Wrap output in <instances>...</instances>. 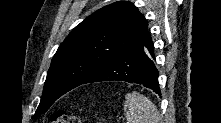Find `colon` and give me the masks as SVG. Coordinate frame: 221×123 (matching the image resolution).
Masks as SVG:
<instances>
[{
    "label": "colon",
    "mask_w": 221,
    "mask_h": 123,
    "mask_svg": "<svg viewBox=\"0 0 221 123\" xmlns=\"http://www.w3.org/2000/svg\"><path fill=\"white\" fill-rule=\"evenodd\" d=\"M50 121L52 123H80L81 120L78 116L68 113L66 111H56L51 115Z\"/></svg>",
    "instance_id": "colon-1"
}]
</instances>
